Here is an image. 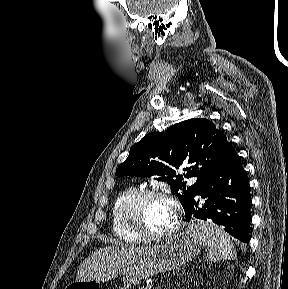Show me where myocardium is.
<instances>
[{"instance_id": "1", "label": "myocardium", "mask_w": 288, "mask_h": 289, "mask_svg": "<svg viewBox=\"0 0 288 289\" xmlns=\"http://www.w3.org/2000/svg\"><path fill=\"white\" fill-rule=\"evenodd\" d=\"M148 197H157L166 200L173 209V222L165 230L159 232H148L142 229L136 218V211L142 200ZM181 215L180 205L168 192L154 188H142L138 190L125 204L123 208V222L125 227L141 240H159L173 235L178 227Z\"/></svg>"}]
</instances>
